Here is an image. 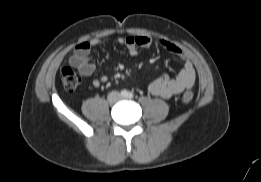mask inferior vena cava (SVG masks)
<instances>
[{
  "label": "inferior vena cava",
  "instance_id": "inferior-vena-cava-1",
  "mask_svg": "<svg viewBox=\"0 0 261 182\" xmlns=\"http://www.w3.org/2000/svg\"><path fill=\"white\" fill-rule=\"evenodd\" d=\"M121 98L120 93L117 91H112L111 93L108 94V100L110 102L117 101Z\"/></svg>",
  "mask_w": 261,
  "mask_h": 182
}]
</instances>
